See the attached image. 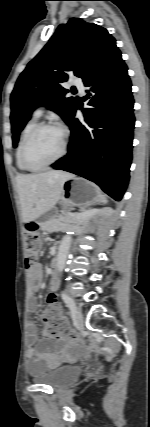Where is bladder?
Segmentation results:
<instances>
[{"label": "bladder", "instance_id": "obj_1", "mask_svg": "<svg viewBox=\"0 0 150 427\" xmlns=\"http://www.w3.org/2000/svg\"><path fill=\"white\" fill-rule=\"evenodd\" d=\"M80 374L81 368L79 366L65 365L37 375L33 378V381L48 385L53 389H60L74 382Z\"/></svg>", "mask_w": 150, "mask_h": 427}]
</instances>
